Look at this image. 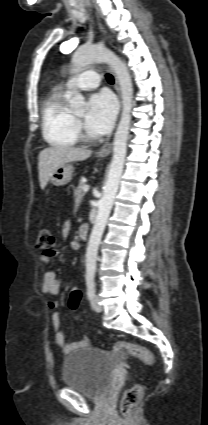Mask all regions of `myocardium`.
Instances as JSON below:
<instances>
[{
    "instance_id": "myocardium-1",
    "label": "myocardium",
    "mask_w": 208,
    "mask_h": 425,
    "mask_svg": "<svg viewBox=\"0 0 208 425\" xmlns=\"http://www.w3.org/2000/svg\"><path fill=\"white\" fill-rule=\"evenodd\" d=\"M74 128H75L76 136L80 140L84 142H89L93 140V138L85 132V130L83 129L81 120L77 117H74Z\"/></svg>"
}]
</instances>
